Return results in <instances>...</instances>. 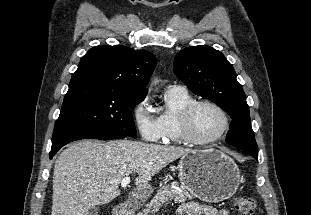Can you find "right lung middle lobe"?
Returning <instances> with one entry per match:
<instances>
[{"label": "right lung middle lobe", "mask_w": 311, "mask_h": 215, "mask_svg": "<svg viewBox=\"0 0 311 215\" xmlns=\"http://www.w3.org/2000/svg\"><path fill=\"white\" fill-rule=\"evenodd\" d=\"M145 95L95 86L70 87L54 127L52 141L78 135L122 134L136 136L131 106Z\"/></svg>", "instance_id": "1"}]
</instances>
